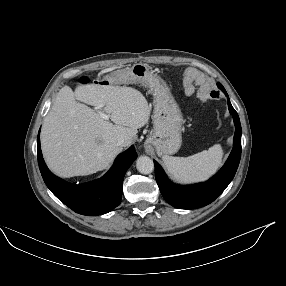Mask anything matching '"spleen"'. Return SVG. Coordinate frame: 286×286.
Segmentation results:
<instances>
[{
    "label": "spleen",
    "mask_w": 286,
    "mask_h": 286,
    "mask_svg": "<svg viewBox=\"0 0 286 286\" xmlns=\"http://www.w3.org/2000/svg\"><path fill=\"white\" fill-rule=\"evenodd\" d=\"M223 150L215 144L189 157L163 156L169 174L178 182L193 183L208 179L221 165Z\"/></svg>",
    "instance_id": "1"
}]
</instances>
